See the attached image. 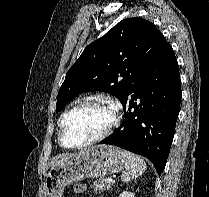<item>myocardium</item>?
Masks as SVG:
<instances>
[{
  "label": "myocardium",
  "instance_id": "1",
  "mask_svg": "<svg viewBox=\"0 0 209 197\" xmlns=\"http://www.w3.org/2000/svg\"><path fill=\"white\" fill-rule=\"evenodd\" d=\"M90 103L102 104L104 106H107L112 112L111 122L109 123V125L106 127V129L103 132H101L99 135H97L96 137L88 141H85L81 144L74 145V146L66 144L64 141L63 134H64V126H65V122L67 118L80 107L90 104ZM119 119H120V106L115 101L109 98H106L104 96H100V95L86 97L82 99L81 101L77 102L74 106H72L69 110H67L63 114L61 121H60V125H59V131H58L59 143L61 144V146H63L66 149H81V148L90 146L108 137L112 133V131L118 126Z\"/></svg>",
  "mask_w": 209,
  "mask_h": 197
}]
</instances>
